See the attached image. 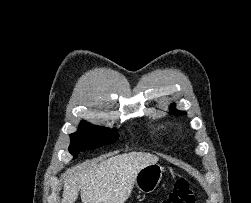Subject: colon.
I'll list each match as a JSON object with an SVG mask.
<instances>
[{
  "instance_id": "1",
  "label": "colon",
  "mask_w": 251,
  "mask_h": 203,
  "mask_svg": "<svg viewBox=\"0 0 251 203\" xmlns=\"http://www.w3.org/2000/svg\"><path fill=\"white\" fill-rule=\"evenodd\" d=\"M195 190L186 179H180L175 183L173 191L160 203H194Z\"/></svg>"
}]
</instances>
